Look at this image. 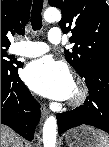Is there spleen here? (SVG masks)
Masks as SVG:
<instances>
[{
    "label": "spleen",
    "instance_id": "1",
    "mask_svg": "<svg viewBox=\"0 0 109 147\" xmlns=\"http://www.w3.org/2000/svg\"><path fill=\"white\" fill-rule=\"evenodd\" d=\"M99 143L97 147H109V136L105 133L100 131L98 134Z\"/></svg>",
    "mask_w": 109,
    "mask_h": 147
}]
</instances>
